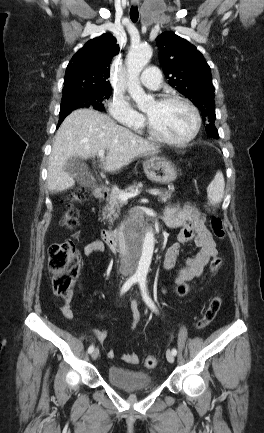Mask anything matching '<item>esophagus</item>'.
I'll use <instances>...</instances> for the list:
<instances>
[{
  "label": "esophagus",
  "mask_w": 264,
  "mask_h": 433,
  "mask_svg": "<svg viewBox=\"0 0 264 433\" xmlns=\"http://www.w3.org/2000/svg\"><path fill=\"white\" fill-rule=\"evenodd\" d=\"M134 4H136L138 2V0H133Z\"/></svg>",
  "instance_id": "esophagus-1"
}]
</instances>
